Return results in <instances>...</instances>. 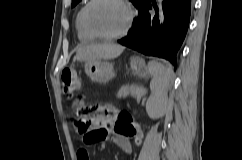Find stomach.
<instances>
[{"instance_id":"1","label":"stomach","mask_w":242,"mask_h":160,"mask_svg":"<svg viewBox=\"0 0 242 160\" xmlns=\"http://www.w3.org/2000/svg\"><path fill=\"white\" fill-rule=\"evenodd\" d=\"M131 69L134 75L144 78L148 75V67L144 59L135 57L131 60ZM85 73L96 83H107L114 77L112 63L105 60L86 61L84 65Z\"/></svg>"}]
</instances>
